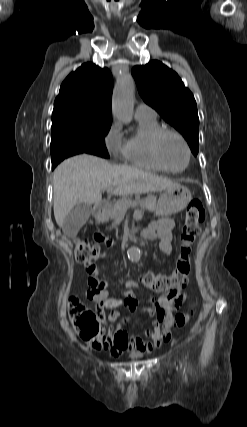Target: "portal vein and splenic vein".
<instances>
[{
	"label": "portal vein and splenic vein",
	"instance_id": "obj_1",
	"mask_svg": "<svg viewBox=\"0 0 247 427\" xmlns=\"http://www.w3.org/2000/svg\"><path fill=\"white\" fill-rule=\"evenodd\" d=\"M131 205H135V203H131Z\"/></svg>",
	"mask_w": 247,
	"mask_h": 427
}]
</instances>
